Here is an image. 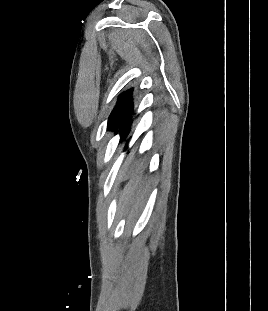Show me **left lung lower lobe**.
Returning a JSON list of instances; mask_svg holds the SVG:
<instances>
[{
  "label": "left lung lower lobe",
  "instance_id": "obj_1",
  "mask_svg": "<svg viewBox=\"0 0 268 311\" xmlns=\"http://www.w3.org/2000/svg\"><path fill=\"white\" fill-rule=\"evenodd\" d=\"M134 112V105H133V96L132 93L129 99L126 102L125 107L120 113L118 125H119V134H120V142L126 140L128 134L130 133L131 125L133 123V119L131 116ZM118 132V129L116 133ZM131 138V137H130ZM130 138L126 141V146L124 147V151L128 149V142Z\"/></svg>",
  "mask_w": 268,
  "mask_h": 311
}]
</instances>
